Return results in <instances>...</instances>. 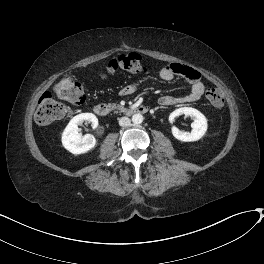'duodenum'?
<instances>
[{
  "mask_svg": "<svg viewBox=\"0 0 264 264\" xmlns=\"http://www.w3.org/2000/svg\"><path fill=\"white\" fill-rule=\"evenodd\" d=\"M95 113L98 116L104 117L108 115L109 109L106 103H97L94 107ZM150 111V108L146 105H135V106H130L126 107L123 110V113L126 116H131L135 114L143 115L146 114Z\"/></svg>",
  "mask_w": 264,
  "mask_h": 264,
  "instance_id": "410a0bca",
  "label": "duodenum"
}]
</instances>
